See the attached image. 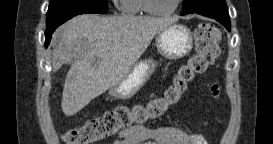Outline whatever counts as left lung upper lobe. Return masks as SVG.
Masks as SVG:
<instances>
[{
    "instance_id": "1",
    "label": "left lung upper lobe",
    "mask_w": 273,
    "mask_h": 144,
    "mask_svg": "<svg viewBox=\"0 0 273 144\" xmlns=\"http://www.w3.org/2000/svg\"><path fill=\"white\" fill-rule=\"evenodd\" d=\"M219 0H184L183 1V14L193 13L200 5L218 4Z\"/></svg>"
}]
</instances>
